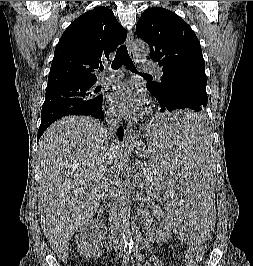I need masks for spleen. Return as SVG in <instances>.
Instances as JSON below:
<instances>
[{"label":"spleen","mask_w":253,"mask_h":266,"mask_svg":"<svg viewBox=\"0 0 253 266\" xmlns=\"http://www.w3.org/2000/svg\"><path fill=\"white\" fill-rule=\"evenodd\" d=\"M201 120L204 115L198 111H166L152 117L156 145L142 168L151 199L164 204L180 248H207L217 235L210 190L212 142Z\"/></svg>","instance_id":"1"}]
</instances>
